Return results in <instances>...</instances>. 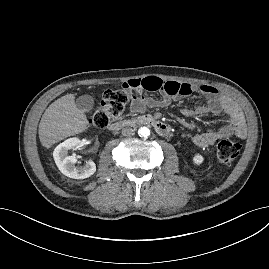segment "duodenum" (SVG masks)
<instances>
[{"mask_svg":"<svg viewBox=\"0 0 269 269\" xmlns=\"http://www.w3.org/2000/svg\"><path fill=\"white\" fill-rule=\"evenodd\" d=\"M137 124H146L155 128V130L162 136H168L171 133V128L168 124L154 118L151 115H141L136 118L124 119L113 122L109 126V130L117 132L124 127L134 126Z\"/></svg>","mask_w":269,"mask_h":269,"instance_id":"1","label":"duodenum"}]
</instances>
